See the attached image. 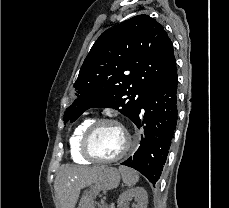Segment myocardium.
<instances>
[{"mask_svg": "<svg viewBox=\"0 0 229 208\" xmlns=\"http://www.w3.org/2000/svg\"><path fill=\"white\" fill-rule=\"evenodd\" d=\"M106 124H113L120 127L122 130H124V132L127 134L128 137V144L125 147V149L120 154H118L117 157H108L107 160H102L101 157H95V152H90V147H91L90 139H93L96 131ZM134 146H135V140L133 136L119 121L115 119L102 118L93 121L87 127L83 135L82 143L80 144L81 148L79 149V152L83 153L82 154L83 158H91L92 160L101 163H111L125 158L133 150Z\"/></svg>", "mask_w": 229, "mask_h": 208, "instance_id": "f54148a6", "label": "myocardium"}]
</instances>
